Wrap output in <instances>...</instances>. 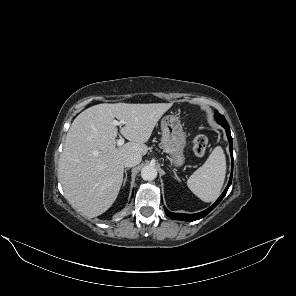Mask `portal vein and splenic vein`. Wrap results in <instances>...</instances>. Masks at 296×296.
Listing matches in <instances>:
<instances>
[{"mask_svg": "<svg viewBox=\"0 0 296 296\" xmlns=\"http://www.w3.org/2000/svg\"><path fill=\"white\" fill-rule=\"evenodd\" d=\"M124 122L123 121H117V120H113V124L114 125H119L121 126ZM124 144V139L122 137H120V139H118L117 141V145L118 146H122Z\"/></svg>", "mask_w": 296, "mask_h": 296, "instance_id": "obj_1", "label": "portal vein and splenic vein"}]
</instances>
